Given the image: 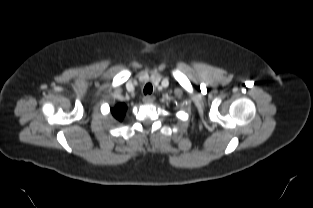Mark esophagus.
I'll use <instances>...</instances> for the list:
<instances>
[{"label": "esophagus", "instance_id": "obj_1", "mask_svg": "<svg viewBox=\"0 0 313 208\" xmlns=\"http://www.w3.org/2000/svg\"><path fill=\"white\" fill-rule=\"evenodd\" d=\"M154 100H155V97L152 95H146L143 97V102L145 104H150V103L154 102Z\"/></svg>", "mask_w": 313, "mask_h": 208}]
</instances>
